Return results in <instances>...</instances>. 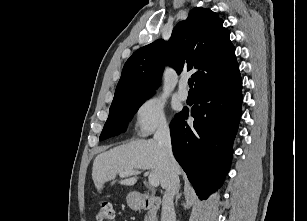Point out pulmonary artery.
<instances>
[{
	"instance_id": "obj_1",
	"label": "pulmonary artery",
	"mask_w": 307,
	"mask_h": 221,
	"mask_svg": "<svg viewBox=\"0 0 307 221\" xmlns=\"http://www.w3.org/2000/svg\"><path fill=\"white\" fill-rule=\"evenodd\" d=\"M186 86H187V80L186 79L180 80L178 87V97L182 101H185L188 98V91L186 89Z\"/></svg>"
}]
</instances>
